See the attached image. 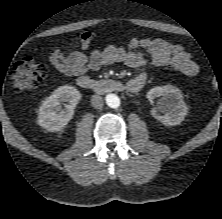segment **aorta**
Instances as JSON below:
<instances>
[{"instance_id":"1","label":"aorta","mask_w":222,"mask_h":219,"mask_svg":"<svg viewBox=\"0 0 222 219\" xmlns=\"http://www.w3.org/2000/svg\"><path fill=\"white\" fill-rule=\"evenodd\" d=\"M106 103L111 108H117L120 106V99L115 94H108L106 96Z\"/></svg>"}]
</instances>
